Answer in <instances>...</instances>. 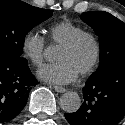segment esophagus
<instances>
[{
	"label": "esophagus",
	"mask_w": 125,
	"mask_h": 125,
	"mask_svg": "<svg viewBox=\"0 0 125 125\" xmlns=\"http://www.w3.org/2000/svg\"><path fill=\"white\" fill-rule=\"evenodd\" d=\"M54 90L58 93H64L66 91V89L64 87H61V86H53Z\"/></svg>",
	"instance_id": "34e87169"
}]
</instances>
